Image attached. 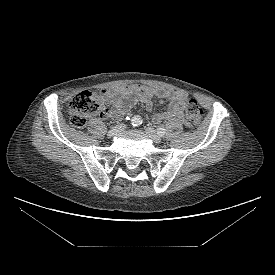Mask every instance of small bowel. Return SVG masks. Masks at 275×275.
Segmentation results:
<instances>
[{
	"mask_svg": "<svg viewBox=\"0 0 275 275\" xmlns=\"http://www.w3.org/2000/svg\"><path fill=\"white\" fill-rule=\"evenodd\" d=\"M105 103L111 109L102 112L103 115L119 120L135 104L143 103L146 110L153 112V99H158L160 104L169 102L168 109L153 115V122L160 124L165 121L185 122L184 109L187 104V94L180 90L162 89L143 85H125L102 90Z\"/></svg>",
	"mask_w": 275,
	"mask_h": 275,
	"instance_id": "small-bowel-1",
	"label": "small bowel"
}]
</instances>
